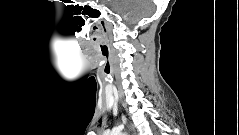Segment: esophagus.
I'll use <instances>...</instances> for the list:
<instances>
[{"label":"esophagus","mask_w":239,"mask_h":135,"mask_svg":"<svg viewBox=\"0 0 239 135\" xmlns=\"http://www.w3.org/2000/svg\"><path fill=\"white\" fill-rule=\"evenodd\" d=\"M122 121H123L124 124L127 125L128 129H129V131H130V133H131V134H134L133 128L128 124L127 119H126V117H125L124 115H122Z\"/></svg>","instance_id":"1"}]
</instances>
